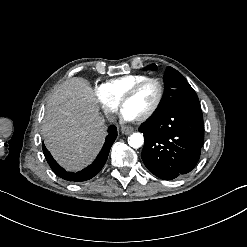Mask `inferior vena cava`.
<instances>
[{"instance_id": "obj_1", "label": "inferior vena cava", "mask_w": 247, "mask_h": 247, "mask_svg": "<svg viewBox=\"0 0 247 247\" xmlns=\"http://www.w3.org/2000/svg\"><path fill=\"white\" fill-rule=\"evenodd\" d=\"M108 120H109V122H116L117 117L115 115H109Z\"/></svg>"}]
</instances>
